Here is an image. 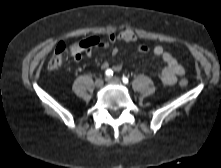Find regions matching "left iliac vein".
Segmentation results:
<instances>
[{
  "mask_svg": "<svg viewBox=\"0 0 221 168\" xmlns=\"http://www.w3.org/2000/svg\"><path fill=\"white\" fill-rule=\"evenodd\" d=\"M106 81L109 83L121 84V80L118 77H107Z\"/></svg>",
  "mask_w": 221,
  "mask_h": 168,
  "instance_id": "left-iliac-vein-1",
  "label": "left iliac vein"
}]
</instances>
